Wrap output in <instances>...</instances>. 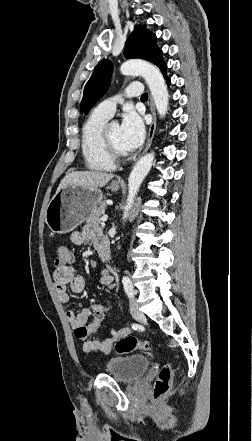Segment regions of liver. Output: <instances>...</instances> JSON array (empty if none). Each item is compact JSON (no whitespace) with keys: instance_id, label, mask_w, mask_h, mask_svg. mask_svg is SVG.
<instances>
[{"instance_id":"1","label":"liver","mask_w":252,"mask_h":441,"mask_svg":"<svg viewBox=\"0 0 252 441\" xmlns=\"http://www.w3.org/2000/svg\"><path fill=\"white\" fill-rule=\"evenodd\" d=\"M114 174L101 171H74L67 174L58 186V190L68 186H82L86 188H98L105 186Z\"/></svg>"}]
</instances>
